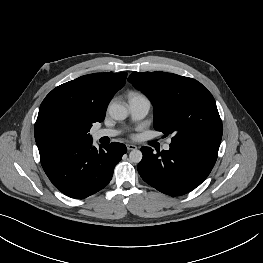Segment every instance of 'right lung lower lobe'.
<instances>
[{"mask_svg":"<svg viewBox=\"0 0 263 263\" xmlns=\"http://www.w3.org/2000/svg\"><path fill=\"white\" fill-rule=\"evenodd\" d=\"M121 143L92 146V140L63 149L42 167L63 194L72 198L88 197L112 179L114 167L126 153Z\"/></svg>","mask_w":263,"mask_h":263,"instance_id":"98d812e1","label":"right lung lower lobe"}]
</instances>
